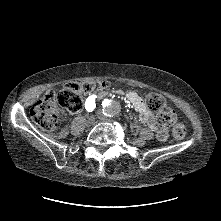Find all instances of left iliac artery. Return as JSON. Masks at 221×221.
<instances>
[{"label": "left iliac artery", "instance_id": "44dca946", "mask_svg": "<svg viewBox=\"0 0 221 221\" xmlns=\"http://www.w3.org/2000/svg\"><path fill=\"white\" fill-rule=\"evenodd\" d=\"M111 102V100H108V99H104L102 105L105 107V106H109V103Z\"/></svg>", "mask_w": 221, "mask_h": 221}]
</instances>
